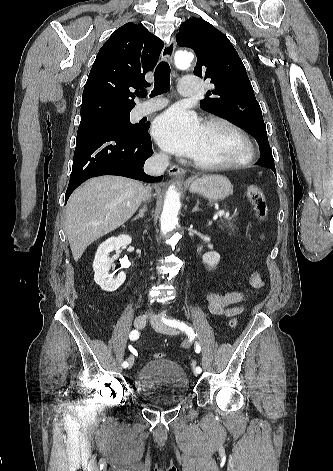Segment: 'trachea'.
<instances>
[{"instance_id": "3493384b", "label": "trachea", "mask_w": 333, "mask_h": 471, "mask_svg": "<svg viewBox=\"0 0 333 471\" xmlns=\"http://www.w3.org/2000/svg\"><path fill=\"white\" fill-rule=\"evenodd\" d=\"M154 90L151 92L150 97L160 95L168 91L170 86V66L167 62L162 61L158 64L154 72ZM139 97L145 98L147 91L142 90L138 93Z\"/></svg>"}]
</instances>
